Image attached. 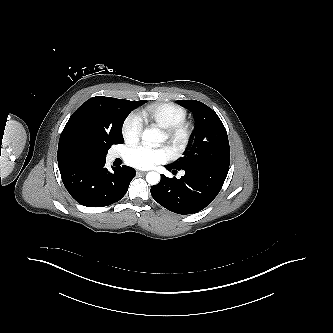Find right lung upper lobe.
<instances>
[{"label": "right lung upper lobe", "mask_w": 333, "mask_h": 333, "mask_svg": "<svg viewBox=\"0 0 333 333\" xmlns=\"http://www.w3.org/2000/svg\"><path fill=\"white\" fill-rule=\"evenodd\" d=\"M115 99L104 96L90 98L71 115L59 139V168L72 158L84 154L87 138L91 133L110 126L111 108Z\"/></svg>", "instance_id": "obj_1"}]
</instances>
